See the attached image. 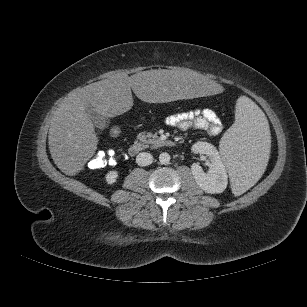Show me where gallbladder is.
<instances>
[{
  "label": "gallbladder",
  "mask_w": 307,
  "mask_h": 307,
  "mask_svg": "<svg viewBox=\"0 0 307 307\" xmlns=\"http://www.w3.org/2000/svg\"><path fill=\"white\" fill-rule=\"evenodd\" d=\"M87 113L97 128L104 129L107 126L106 119L100 115L93 107L89 106L87 108Z\"/></svg>",
  "instance_id": "bac80fb5"
}]
</instances>
